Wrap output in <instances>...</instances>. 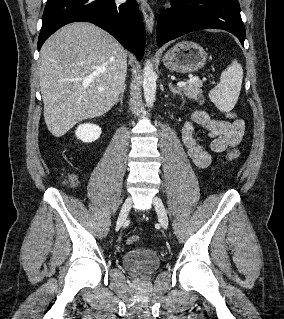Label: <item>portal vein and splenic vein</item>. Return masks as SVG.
<instances>
[{"label": "portal vein and splenic vein", "mask_w": 284, "mask_h": 319, "mask_svg": "<svg viewBox=\"0 0 284 319\" xmlns=\"http://www.w3.org/2000/svg\"><path fill=\"white\" fill-rule=\"evenodd\" d=\"M199 81V77H193L189 79L188 81H180L177 83V87H183L186 86L188 83H193Z\"/></svg>", "instance_id": "1"}]
</instances>
